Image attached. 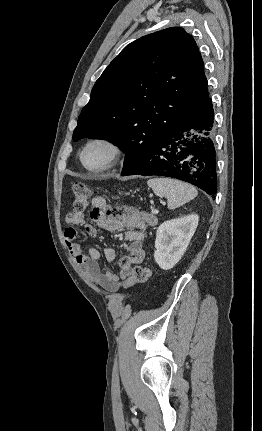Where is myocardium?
I'll return each instance as SVG.
<instances>
[{
    "instance_id": "myocardium-1",
    "label": "myocardium",
    "mask_w": 262,
    "mask_h": 431,
    "mask_svg": "<svg viewBox=\"0 0 262 431\" xmlns=\"http://www.w3.org/2000/svg\"><path fill=\"white\" fill-rule=\"evenodd\" d=\"M95 145H103L107 147V149L109 150V158L103 166H100L97 168H91L85 164L84 157L86 152ZM123 155H124V148L116 139L107 137V136H100V137H95L90 139L84 145L80 153V162L83 168L88 172L93 174H99V173L114 169L122 160Z\"/></svg>"
}]
</instances>
